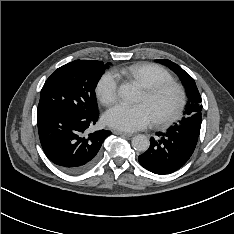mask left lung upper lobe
Returning a JSON list of instances; mask_svg holds the SVG:
<instances>
[{
	"label": "left lung upper lobe",
	"instance_id": "obj_1",
	"mask_svg": "<svg viewBox=\"0 0 234 234\" xmlns=\"http://www.w3.org/2000/svg\"><path fill=\"white\" fill-rule=\"evenodd\" d=\"M157 62L170 67L175 73L181 76V81L186 89L188 101L182 119L174 126H179L199 136L202 122V99L194 79L176 63L161 59Z\"/></svg>",
	"mask_w": 234,
	"mask_h": 234
}]
</instances>
